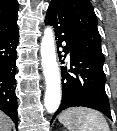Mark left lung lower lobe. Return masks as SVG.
I'll use <instances>...</instances> for the list:
<instances>
[{"mask_svg": "<svg viewBox=\"0 0 117 131\" xmlns=\"http://www.w3.org/2000/svg\"><path fill=\"white\" fill-rule=\"evenodd\" d=\"M45 23L54 28L62 64L66 55L70 54L68 66L61 67L63 98L53 119L64 109L76 106L98 110L111 119L110 104L105 92L104 62L79 44L74 30L61 12L48 9ZM60 48H63L64 56Z\"/></svg>", "mask_w": 117, "mask_h": 131, "instance_id": "0a47b994", "label": "left lung lower lobe"}]
</instances>
